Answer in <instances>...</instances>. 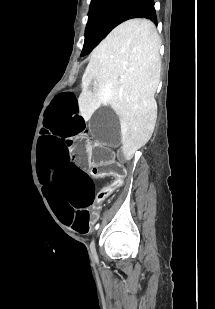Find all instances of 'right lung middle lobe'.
<instances>
[{
  "label": "right lung middle lobe",
  "mask_w": 215,
  "mask_h": 309,
  "mask_svg": "<svg viewBox=\"0 0 215 309\" xmlns=\"http://www.w3.org/2000/svg\"><path fill=\"white\" fill-rule=\"evenodd\" d=\"M131 0H91L89 19L85 29V41L81 56L94 47L117 26V21Z\"/></svg>",
  "instance_id": "right-lung-middle-lobe-1"
}]
</instances>
